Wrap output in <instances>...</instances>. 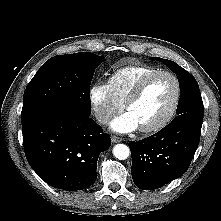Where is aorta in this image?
Masks as SVG:
<instances>
[{"instance_id":"762f6f07","label":"aorta","mask_w":221,"mask_h":221,"mask_svg":"<svg viewBox=\"0 0 221 221\" xmlns=\"http://www.w3.org/2000/svg\"><path fill=\"white\" fill-rule=\"evenodd\" d=\"M113 155L119 160H125L130 155V149L125 144H117L113 147Z\"/></svg>"}]
</instances>
